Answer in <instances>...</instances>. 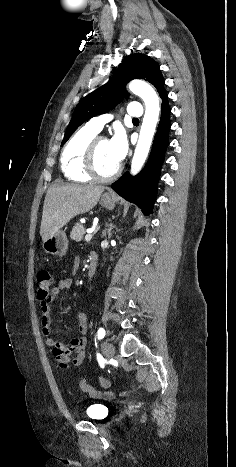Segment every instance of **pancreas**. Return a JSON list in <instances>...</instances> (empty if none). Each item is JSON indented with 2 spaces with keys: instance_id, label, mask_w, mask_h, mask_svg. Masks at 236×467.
Returning <instances> with one entry per match:
<instances>
[{
  "instance_id": "pancreas-1",
  "label": "pancreas",
  "mask_w": 236,
  "mask_h": 467,
  "mask_svg": "<svg viewBox=\"0 0 236 467\" xmlns=\"http://www.w3.org/2000/svg\"><path fill=\"white\" fill-rule=\"evenodd\" d=\"M84 234H85L84 226L80 223H76L75 226L72 228V231L70 233V238L72 240L79 242L82 240Z\"/></svg>"
}]
</instances>
